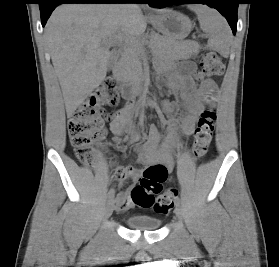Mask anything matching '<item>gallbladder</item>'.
I'll return each instance as SVG.
<instances>
[{"label": "gallbladder", "mask_w": 279, "mask_h": 267, "mask_svg": "<svg viewBox=\"0 0 279 267\" xmlns=\"http://www.w3.org/2000/svg\"><path fill=\"white\" fill-rule=\"evenodd\" d=\"M112 65H113V60H112V58H111V59H109V61H108V69H111Z\"/></svg>", "instance_id": "obj_1"}]
</instances>
